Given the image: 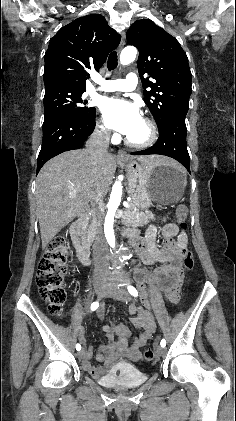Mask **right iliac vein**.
Listing matches in <instances>:
<instances>
[{"label": "right iliac vein", "mask_w": 236, "mask_h": 421, "mask_svg": "<svg viewBox=\"0 0 236 421\" xmlns=\"http://www.w3.org/2000/svg\"><path fill=\"white\" fill-rule=\"evenodd\" d=\"M104 284H105L104 279H101V280L97 281L96 284H95V292H96V295L99 298L103 297L106 293L105 290H104V287H103ZM85 354H86V350H85V348H82V350H80L78 352V359H82L85 356Z\"/></svg>", "instance_id": "63e3f726"}]
</instances>
